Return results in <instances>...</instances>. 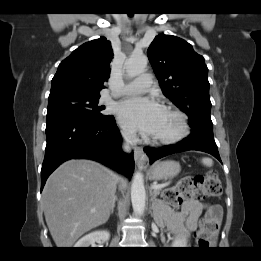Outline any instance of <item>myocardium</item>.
<instances>
[{"label": "myocardium", "mask_w": 261, "mask_h": 261, "mask_svg": "<svg viewBox=\"0 0 261 261\" xmlns=\"http://www.w3.org/2000/svg\"><path fill=\"white\" fill-rule=\"evenodd\" d=\"M166 112L172 114L175 116L178 120V130L176 133H174L171 136L167 137H154L153 142L157 144H162V145H172L180 142L183 140L189 133L190 126H189V121L188 117L186 114L181 111L178 108L175 107H167L165 109Z\"/></svg>", "instance_id": "myocardium-1"}]
</instances>
